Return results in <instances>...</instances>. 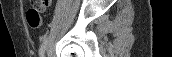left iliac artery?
Segmentation results:
<instances>
[{
	"label": "left iliac artery",
	"instance_id": "left-iliac-artery-1",
	"mask_svg": "<svg viewBox=\"0 0 172 57\" xmlns=\"http://www.w3.org/2000/svg\"><path fill=\"white\" fill-rule=\"evenodd\" d=\"M47 41H48V35H44L42 44L39 49V57H44Z\"/></svg>",
	"mask_w": 172,
	"mask_h": 57
}]
</instances>
